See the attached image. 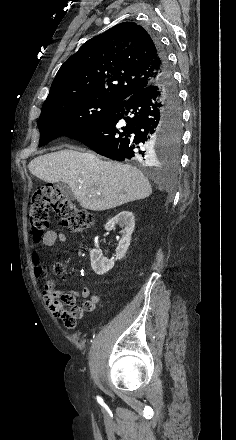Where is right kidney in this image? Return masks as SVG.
Listing matches in <instances>:
<instances>
[{
    "label": "right kidney",
    "instance_id": "1",
    "mask_svg": "<svg viewBox=\"0 0 236 440\" xmlns=\"http://www.w3.org/2000/svg\"><path fill=\"white\" fill-rule=\"evenodd\" d=\"M116 225H119L122 228L121 239L116 248V258L107 259L102 255V252L99 249H92L90 251L91 267L98 275L107 273L114 267L116 260H120L125 256L135 227L134 214L130 211H121L106 223L105 229L107 231L114 230Z\"/></svg>",
    "mask_w": 236,
    "mask_h": 440
}]
</instances>
